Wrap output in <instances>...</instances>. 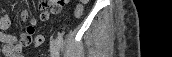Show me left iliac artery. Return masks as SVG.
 <instances>
[{
	"label": "left iliac artery",
	"mask_w": 172,
	"mask_h": 57,
	"mask_svg": "<svg viewBox=\"0 0 172 57\" xmlns=\"http://www.w3.org/2000/svg\"><path fill=\"white\" fill-rule=\"evenodd\" d=\"M57 39H58V43L60 44V46H62V44H63V35L61 33H58Z\"/></svg>",
	"instance_id": "obj_1"
}]
</instances>
